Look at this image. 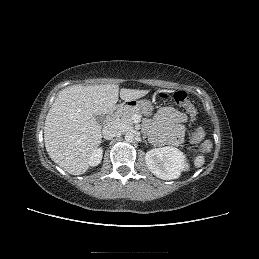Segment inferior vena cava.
<instances>
[{
	"mask_svg": "<svg viewBox=\"0 0 259 259\" xmlns=\"http://www.w3.org/2000/svg\"><path fill=\"white\" fill-rule=\"evenodd\" d=\"M121 131L122 130L119 124L111 122L104 126L102 133L105 139H112L121 133Z\"/></svg>",
	"mask_w": 259,
	"mask_h": 259,
	"instance_id": "602c4592",
	"label": "inferior vena cava"
}]
</instances>
